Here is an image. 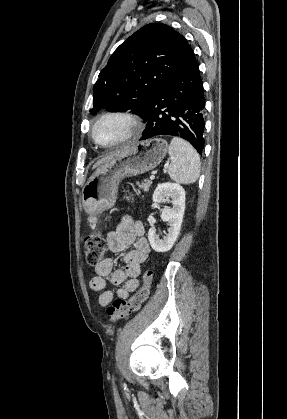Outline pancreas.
<instances>
[{
	"label": "pancreas",
	"instance_id": "1",
	"mask_svg": "<svg viewBox=\"0 0 287 419\" xmlns=\"http://www.w3.org/2000/svg\"><path fill=\"white\" fill-rule=\"evenodd\" d=\"M152 185V181L146 180L142 184H139V188L142 189L144 192L149 191L150 187Z\"/></svg>",
	"mask_w": 287,
	"mask_h": 419
}]
</instances>
